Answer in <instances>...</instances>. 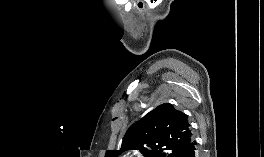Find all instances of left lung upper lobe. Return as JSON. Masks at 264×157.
Here are the masks:
<instances>
[{"mask_svg": "<svg viewBox=\"0 0 264 157\" xmlns=\"http://www.w3.org/2000/svg\"><path fill=\"white\" fill-rule=\"evenodd\" d=\"M193 135L188 116L164 103L127 130L120 150H107L105 157L121 151L138 150L144 157H185Z\"/></svg>", "mask_w": 264, "mask_h": 157, "instance_id": "5c2ea615", "label": "left lung upper lobe"}]
</instances>
